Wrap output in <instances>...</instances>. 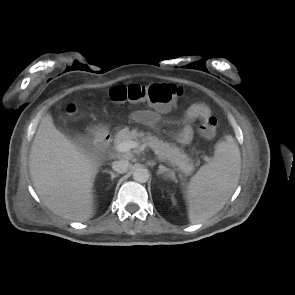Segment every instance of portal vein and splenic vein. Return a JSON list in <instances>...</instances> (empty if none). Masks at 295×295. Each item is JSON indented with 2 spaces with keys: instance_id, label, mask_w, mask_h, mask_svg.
<instances>
[{
  "instance_id": "portal-vein-and-splenic-vein-1",
  "label": "portal vein and splenic vein",
  "mask_w": 295,
  "mask_h": 295,
  "mask_svg": "<svg viewBox=\"0 0 295 295\" xmlns=\"http://www.w3.org/2000/svg\"><path fill=\"white\" fill-rule=\"evenodd\" d=\"M145 147H146L145 144H140L137 141L127 140L116 145L115 149L117 152L124 153V152H128L129 150L133 148L144 150Z\"/></svg>"
}]
</instances>
